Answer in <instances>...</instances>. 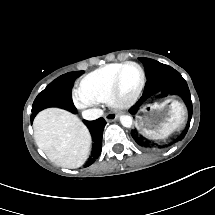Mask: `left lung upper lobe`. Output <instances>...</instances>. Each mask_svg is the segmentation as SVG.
<instances>
[{
  "label": "left lung upper lobe",
  "instance_id": "obj_1",
  "mask_svg": "<svg viewBox=\"0 0 215 215\" xmlns=\"http://www.w3.org/2000/svg\"><path fill=\"white\" fill-rule=\"evenodd\" d=\"M139 60L143 63L145 67L147 82L145 84L142 97L136 103V105L130 110V112L132 114H135L139 106L149 97L155 94L174 93L179 95L185 102L189 112L187 126L180 135V137L178 138L179 140H181L182 138L185 137L189 129L192 117V102L190 97V91L186 81L182 78L179 72H177L175 69L168 65L159 63L149 58H139ZM131 136L133 137L135 142L141 147L150 148L154 146V144H151L149 141L145 140L136 131H131Z\"/></svg>",
  "mask_w": 215,
  "mask_h": 215
}]
</instances>
